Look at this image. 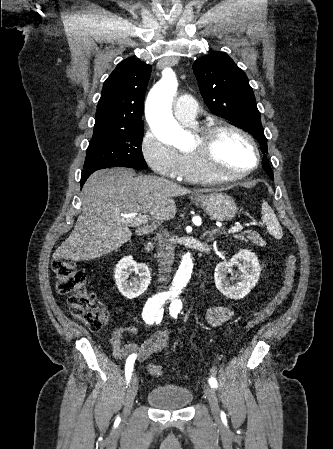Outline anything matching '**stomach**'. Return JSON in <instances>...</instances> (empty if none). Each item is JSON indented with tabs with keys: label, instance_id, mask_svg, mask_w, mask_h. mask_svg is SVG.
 I'll return each instance as SVG.
<instances>
[{
	"label": "stomach",
	"instance_id": "stomach-1",
	"mask_svg": "<svg viewBox=\"0 0 333 449\" xmlns=\"http://www.w3.org/2000/svg\"><path fill=\"white\" fill-rule=\"evenodd\" d=\"M196 204L203 208L212 219L219 221L231 220L238 210L232 197L219 192L198 196Z\"/></svg>",
	"mask_w": 333,
	"mask_h": 449
}]
</instances>
